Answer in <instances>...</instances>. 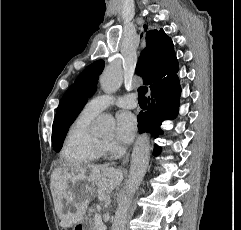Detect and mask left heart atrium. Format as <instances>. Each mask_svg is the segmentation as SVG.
Returning a JSON list of instances; mask_svg holds the SVG:
<instances>
[{"instance_id":"39dd6f15","label":"left heart atrium","mask_w":241,"mask_h":230,"mask_svg":"<svg viewBox=\"0 0 241 230\" xmlns=\"http://www.w3.org/2000/svg\"><path fill=\"white\" fill-rule=\"evenodd\" d=\"M137 130V121L135 116L128 111H121L117 114L116 135L124 143L133 140Z\"/></svg>"}]
</instances>
